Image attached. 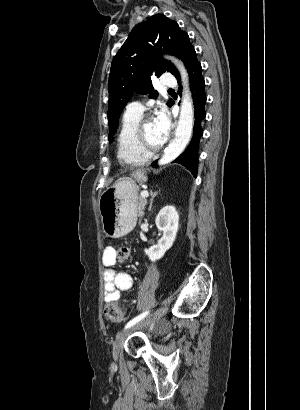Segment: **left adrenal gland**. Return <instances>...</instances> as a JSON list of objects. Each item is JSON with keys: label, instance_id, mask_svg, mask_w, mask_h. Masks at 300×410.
I'll use <instances>...</instances> for the list:
<instances>
[{"label": "left adrenal gland", "instance_id": "a2214340", "mask_svg": "<svg viewBox=\"0 0 300 410\" xmlns=\"http://www.w3.org/2000/svg\"><path fill=\"white\" fill-rule=\"evenodd\" d=\"M158 194V192H153V191H150V196H151V199H150V203H149V207H148V211H150L151 209H152V206H153V201H154V198L156 197V195Z\"/></svg>", "mask_w": 300, "mask_h": 410}]
</instances>
